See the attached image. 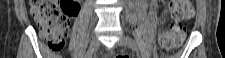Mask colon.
Segmentation results:
<instances>
[{
  "label": "colon",
  "mask_w": 225,
  "mask_h": 58,
  "mask_svg": "<svg viewBox=\"0 0 225 58\" xmlns=\"http://www.w3.org/2000/svg\"><path fill=\"white\" fill-rule=\"evenodd\" d=\"M79 12V4L72 0H34L31 13L36 20L40 35L52 50H60L69 31V15ZM172 19L170 29L159 36V45L166 52H175L184 41L182 21L192 16L191 0H172L169 2ZM129 52L122 51L117 58H130Z\"/></svg>",
  "instance_id": "colon-1"
}]
</instances>
